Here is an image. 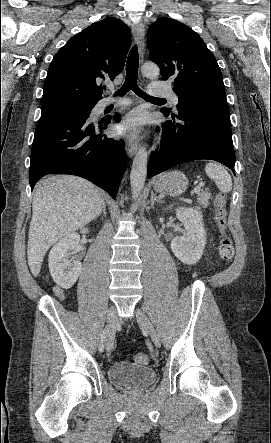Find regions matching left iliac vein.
<instances>
[{
    "instance_id": "obj_1",
    "label": "left iliac vein",
    "mask_w": 271,
    "mask_h": 443,
    "mask_svg": "<svg viewBox=\"0 0 271 443\" xmlns=\"http://www.w3.org/2000/svg\"><path fill=\"white\" fill-rule=\"evenodd\" d=\"M136 319L138 324L141 326L142 329H144L150 336L151 340L153 341L154 345L156 347L161 346L160 337L153 327L151 321L146 316V314L139 308L136 309Z\"/></svg>"
}]
</instances>
